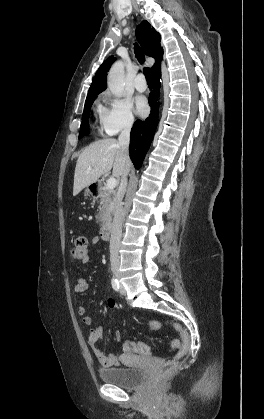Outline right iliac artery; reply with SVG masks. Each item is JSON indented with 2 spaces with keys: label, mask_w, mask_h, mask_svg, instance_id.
Here are the masks:
<instances>
[{
  "label": "right iliac artery",
  "mask_w": 264,
  "mask_h": 419,
  "mask_svg": "<svg viewBox=\"0 0 264 419\" xmlns=\"http://www.w3.org/2000/svg\"><path fill=\"white\" fill-rule=\"evenodd\" d=\"M111 284H112V288L116 291V292H118L119 291V283H118V280L116 279V278H112V280H111Z\"/></svg>",
  "instance_id": "82829eb1"
}]
</instances>
